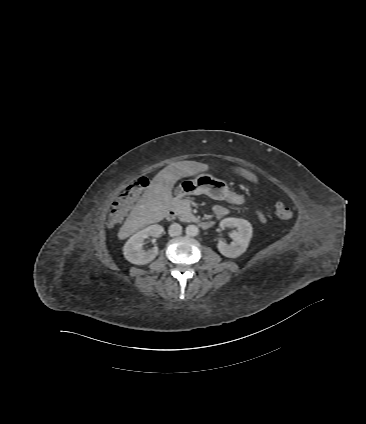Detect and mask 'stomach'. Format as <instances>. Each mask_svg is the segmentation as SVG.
I'll return each mask as SVG.
<instances>
[{"mask_svg":"<svg viewBox=\"0 0 366 424\" xmlns=\"http://www.w3.org/2000/svg\"><path fill=\"white\" fill-rule=\"evenodd\" d=\"M185 186L191 187L190 191H186ZM182 193L193 195L205 194L214 200H225L229 203H240L241 198L229 191L227 183L217 179L210 174H199L193 180H185L181 185Z\"/></svg>","mask_w":366,"mask_h":424,"instance_id":"stomach-1","label":"stomach"}]
</instances>
